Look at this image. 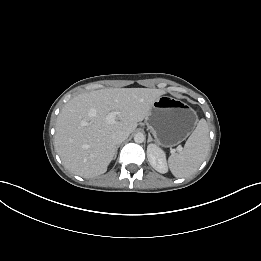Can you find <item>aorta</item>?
I'll return each instance as SVG.
<instances>
[{"mask_svg": "<svg viewBox=\"0 0 261 261\" xmlns=\"http://www.w3.org/2000/svg\"><path fill=\"white\" fill-rule=\"evenodd\" d=\"M144 140H145V136H144L143 133H137V134H135V136H134V141H135L136 143H142V142H144Z\"/></svg>", "mask_w": 261, "mask_h": 261, "instance_id": "aorta-1", "label": "aorta"}]
</instances>
